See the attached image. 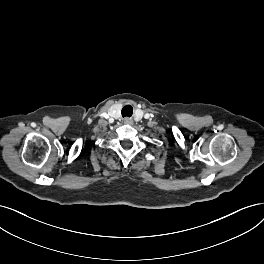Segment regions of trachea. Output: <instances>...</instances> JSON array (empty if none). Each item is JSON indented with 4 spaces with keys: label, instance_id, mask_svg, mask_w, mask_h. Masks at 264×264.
<instances>
[{
    "label": "trachea",
    "instance_id": "obj_1",
    "mask_svg": "<svg viewBox=\"0 0 264 264\" xmlns=\"http://www.w3.org/2000/svg\"><path fill=\"white\" fill-rule=\"evenodd\" d=\"M121 113H122V116L123 117H131L132 116V113H133V108H132V106H130V105H126V106H124L123 107V109H122V111H121Z\"/></svg>",
    "mask_w": 264,
    "mask_h": 264
}]
</instances>
